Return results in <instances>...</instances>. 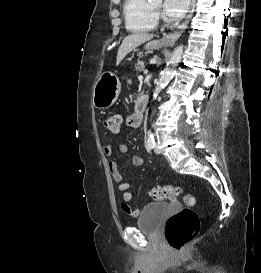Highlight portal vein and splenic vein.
Returning a JSON list of instances; mask_svg holds the SVG:
<instances>
[{"instance_id": "portal-vein-and-splenic-vein-1", "label": "portal vein and splenic vein", "mask_w": 261, "mask_h": 273, "mask_svg": "<svg viewBox=\"0 0 261 273\" xmlns=\"http://www.w3.org/2000/svg\"><path fill=\"white\" fill-rule=\"evenodd\" d=\"M138 79H139V80H142V79H143V76L140 75V76L138 77Z\"/></svg>"}]
</instances>
